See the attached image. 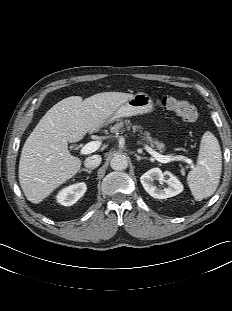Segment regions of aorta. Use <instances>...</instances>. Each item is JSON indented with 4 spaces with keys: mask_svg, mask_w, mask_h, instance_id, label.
<instances>
[{
    "mask_svg": "<svg viewBox=\"0 0 232 311\" xmlns=\"http://www.w3.org/2000/svg\"><path fill=\"white\" fill-rule=\"evenodd\" d=\"M110 166L113 170L121 171L128 167V160L126 156L118 154L111 159Z\"/></svg>",
    "mask_w": 232,
    "mask_h": 311,
    "instance_id": "1",
    "label": "aorta"
}]
</instances>
